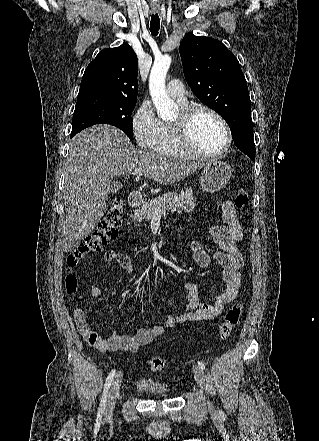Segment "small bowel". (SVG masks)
<instances>
[{
    "instance_id": "c3829d8e",
    "label": "small bowel",
    "mask_w": 319,
    "mask_h": 441,
    "mask_svg": "<svg viewBox=\"0 0 319 441\" xmlns=\"http://www.w3.org/2000/svg\"><path fill=\"white\" fill-rule=\"evenodd\" d=\"M222 217L224 224L213 226L208 231L219 248L212 257L199 242L192 240L188 243L193 259L200 267H208L211 258H214L222 268V279L225 283V289L212 303L199 302L198 285L195 282H186L184 288L187 291L188 305L183 313L177 316H168L162 325L139 329L133 335H120L114 332L107 339H103L91 327L84 310L77 308L74 311V319L77 329L84 339L91 346L103 352H136L141 347L151 343L158 336L163 335L176 324L209 320L221 315L224 307L238 295L241 285V269L244 265L241 252L237 247V243L243 238V229L232 201H224ZM104 259L106 262L117 263L128 273H132L134 270L131 259L119 251L110 250L106 252ZM90 289L94 298L101 296L102 291L96 283L90 282Z\"/></svg>"
}]
</instances>
